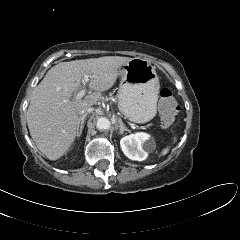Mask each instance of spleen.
Segmentation results:
<instances>
[{
  "label": "spleen",
  "mask_w": 240,
  "mask_h": 240,
  "mask_svg": "<svg viewBox=\"0 0 240 240\" xmlns=\"http://www.w3.org/2000/svg\"><path fill=\"white\" fill-rule=\"evenodd\" d=\"M174 141H176V139H174ZM168 151H169V148L163 149V151L161 152V155H162V156H163V155H166V154L168 153Z\"/></svg>",
  "instance_id": "spleen-1"
}]
</instances>
